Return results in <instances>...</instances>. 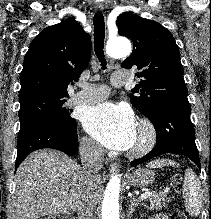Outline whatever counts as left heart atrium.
<instances>
[{
	"mask_svg": "<svg viewBox=\"0 0 211 219\" xmlns=\"http://www.w3.org/2000/svg\"><path fill=\"white\" fill-rule=\"evenodd\" d=\"M85 130L109 149L127 150L138 136L133 112L110 102L89 108L83 118Z\"/></svg>",
	"mask_w": 211,
	"mask_h": 219,
	"instance_id": "left-heart-atrium-1",
	"label": "left heart atrium"
}]
</instances>
